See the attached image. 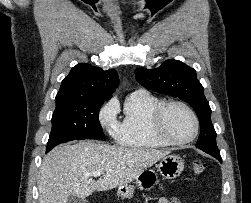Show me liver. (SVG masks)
Instances as JSON below:
<instances>
[{
  "label": "liver",
  "instance_id": "obj_1",
  "mask_svg": "<svg viewBox=\"0 0 251 203\" xmlns=\"http://www.w3.org/2000/svg\"><path fill=\"white\" fill-rule=\"evenodd\" d=\"M170 151L126 148L94 141L59 145L43 159L39 203H67L70 195L86 198L135 180ZM102 171L97 181L91 174Z\"/></svg>",
  "mask_w": 251,
  "mask_h": 203
}]
</instances>
